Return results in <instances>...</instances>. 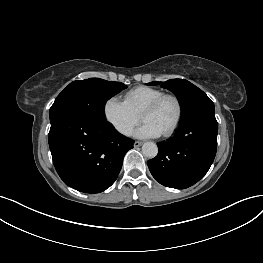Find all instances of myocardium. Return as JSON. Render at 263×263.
Masks as SVG:
<instances>
[{"mask_svg":"<svg viewBox=\"0 0 263 263\" xmlns=\"http://www.w3.org/2000/svg\"><path fill=\"white\" fill-rule=\"evenodd\" d=\"M167 99H171L175 102L176 107H177V114L170 128L164 133H162L164 137L171 136L177 130V128L179 127L181 123V120L183 117V105H182L180 98L175 94L164 93L161 96L154 99L153 101H151L150 103H148L141 112V118L143 119V115L145 113L157 109Z\"/></svg>","mask_w":263,"mask_h":263,"instance_id":"myocardium-1","label":"myocardium"}]
</instances>
